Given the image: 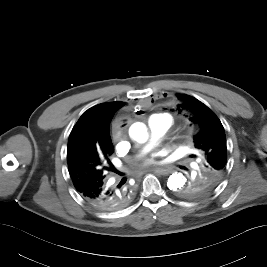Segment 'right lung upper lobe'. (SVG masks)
Segmentation results:
<instances>
[{"instance_id": "obj_1", "label": "right lung upper lobe", "mask_w": 267, "mask_h": 267, "mask_svg": "<svg viewBox=\"0 0 267 267\" xmlns=\"http://www.w3.org/2000/svg\"><path fill=\"white\" fill-rule=\"evenodd\" d=\"M123 105V102L102 103L84 112L70 133L68 159L96 151H114L109 125L113 114Z\"/></svg>"}]
</instances>
